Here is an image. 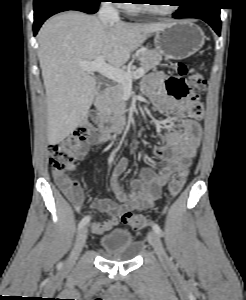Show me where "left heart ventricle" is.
Listing matches in <instances>:
<instances>
[{
  "instance_id": "b2bd125f",
  "label": "left heart ventricle",
  "mask_w": 246,
  "mask_h": 300,
  "mask_svg": "<svg viewBox=\"0 0 246 300\" xmlns=\"http://www.w3.org/2000/svg\"><path fill=\"white\" fill-rule=\"evenodd\" d=\"M159 4H149L153 10L156 11H168L172 7L173 1H156ZM169 4V5H168Z\"/></svg>"
}]
</instances>
